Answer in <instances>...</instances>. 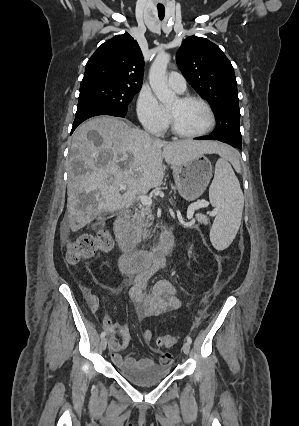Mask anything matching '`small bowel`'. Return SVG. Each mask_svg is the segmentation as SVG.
I'll use <instances>...</instances> for the list:
<instances>
[{
    "instance_id": "small-bowel-1",
    "label": "small bowel",
    "mask_w": 299,
    "mask_h": 426,
    "mask_svg": "<svg viewBox=\"0 0 299 426\" xmlns=\"http://www.w3.org/2000/svg\"><path fill=\"white\" fill-rule=\"evenodd\" d=\"M166 265V257L160 258L133 275V285L129 295L139 316L145 318L158 316L180 307L181 302L177 297V290L170 281L160 280L156 282L150 290L147 288L151 276ZM103 323L109 336L111 359L119 369L144 368L156 365L155 362L149 358L136 359L133 355L122 357L120 351L128 347L131 341L127 326L123 323H114L109 314L105 315ZM117 332L122 335L121 340L117 338ZM144 339L147 344H150L152 340V333L150 330L147 329L144 331ZM152 350L158 351L157 348L154 347ZM171 360V354L167 352H163L159 356L160 365H169Z\"/></svg>"
}]
</instances>
